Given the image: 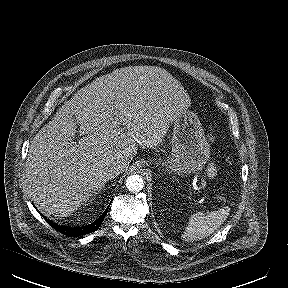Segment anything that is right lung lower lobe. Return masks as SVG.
<instances>
[{
    "label": "right lung lower lobe",
    "mask_w": 288,
    "mask_h": 288,
    "mask_svg": "<svg viewBox=\"0 0 288 288\" xmlns=\"http://www.w3.org/2000/svg\"><path fill=\"white\" fill-rule=\"evenodd\" d=\"M107 210L106 209L104 211V213L93 223L83 226V227H75V228H69V227H64V226H60L56 223L51 222L50 220H48L46 217L45 220L49 223L50 226H52L54 229H56L57 231L67 235V236H81V235H85V234H89L91 232L96 231L99 226L101 225V223L103 222L106 214H107Z\"/></svg>",
    "instance_id": "98d812e1"
}]
</instances>
